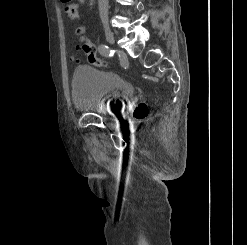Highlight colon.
<instances>
[{"label": "colon", "instance_id": "5ec220e1", "mask_svg": "<svg viewBox=\"0 0 247 245\" xmlns=\"http://www.w3.org/2000/svg\"><path fill=\"white\" fill-rule=\"evenodd\" d=\"M63 4H65L64 11L65 13L73 20H77L79 18V11L75 4L71 3V0H61ZM79 36H82L84 33L83 27H78L76 30ZM83 51L88 55V60L91 64L99 67L106 66L107 62L100 59L96 56L95 48L92 43L84 40L82 44ZM148 114L147 106L144 103L139 104L134 110V117L136 119H144Z\"/></svg>", "mask_w": 247, "mask_h": 245}]
</instances>
